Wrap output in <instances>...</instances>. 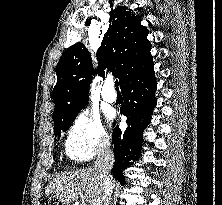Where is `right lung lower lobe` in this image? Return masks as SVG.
I'll list each match as a JSON object with an SVG mask.
<instances>
[{"mask_svg": "<svg viewBox=\"0 0 222 205\" xmlns=\"http://www.w3.org/2000/svg\"><path fill=\"white\" fill-rule=\"evenodd\" d=\"M153 67L154 65L121 86L124 103L120 112L127 117L128 127L124 131L119 127L113 130L115 164L111 170L113 177L121 184H125L123 170L128 167L132 159L140 156L142 134L151 121L150 115L156 106L157 82Z\"/></svg>", "mask_w": 222, "mask_h": 205, "instance_id": "1", "label": "right lung lower lobe"}]
</instances>
